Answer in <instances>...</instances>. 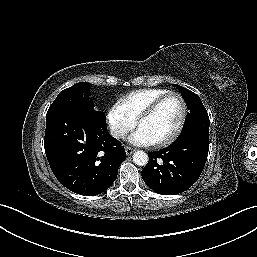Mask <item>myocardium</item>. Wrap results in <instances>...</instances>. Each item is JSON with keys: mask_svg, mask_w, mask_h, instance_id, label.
Wrapping results in <instances>:
<instances>
[{"mask_svg": "<svg viewBox=\"0 0 257 257\" xmlns=\"http://www.w3.org/2000/svg\"><path fill=\"white\" fill-rule=\"evenodd\" d=\"M172 96H176L180 102H181V106H182V115H181V119L179 121L178 126L176 127L175 131L168 136L165 139H162L158 142H155L154 145L158 146V147H163V146H167L171 143H173L182 133L183 128L185 126L186 120H187V116H188V106L186 103L185 98L182 96V94L178 93V92H173L170 91L169 93L159 97L158 99H156L150 106H148L142 113L141 115L137 118V126L139 127L140 123L149 118L150 116H152L157 109L170 97Z\"/></svg>", "mask_w": 257, "mask_h": 257, "instance_id": "1", "label": "myocardium"}]
</instances>
